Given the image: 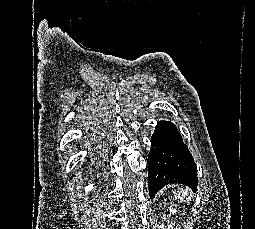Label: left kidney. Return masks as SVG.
Segmentation results:
<instances>
[{
	"label": "left kidney",
	"mask_w": 255,
	"mask_h": 229,
	"mask_svg": "<svg viewBox=\"0 0 255 229\" xmlns=\"http://www.w3.org/2000/svg\"><path fill=\"white\" fill-rule=\"evenodd\" d=\"M169 211L172 212V214H175V213H176V210L173 209V208H171V207L169 208Z\"/></svg>",
	"instance_id": "1"
}]
</instances>
